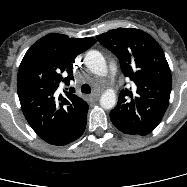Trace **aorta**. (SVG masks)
Segmentation results:
<instances>
[{"label": "aorta", "instance_id": "obj_1", "mask_svg": "<svg viewBox=\"0 0 187 187\" xmlns=\"http://www.w3.org/2000/svg\"><path fill=\"white\" fill-rule=\"evenodd\" d=\"M86 67L96 75H105L107 73V65L103 55L97 50H90L86 53L84 58ZM100 105L106 110H110L116 105V94L114 90H106L101 98Z\"/></svg>", "mask_w": 187, "mask_h": 187}]
</instances>
